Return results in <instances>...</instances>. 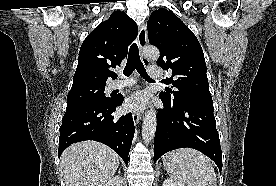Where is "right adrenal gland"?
Instances as JSON below:
<instances>
[{"mask_svg":"<svg viewBox=\"0 0 276 186\" xmlns=\"http://www.w3.org/2000/svg\"><path fill=\"white\" fill-rule=\"evenodd\" d=\"M118 173H119V174L121 173L120 169H119Z\"/></svg>","mask_w":276,"mask_h":186,"instance_id":"2a0ac1e0","label":"right adrenal gland"}]
</instances>
